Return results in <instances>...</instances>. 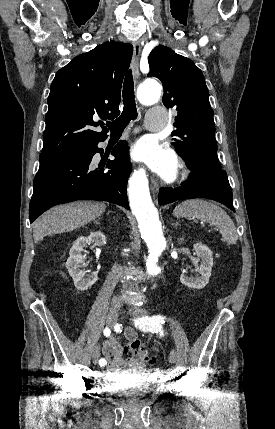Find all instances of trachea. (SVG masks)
Masks as SVG:
<instances>
[{"label":"trachea","mask_w":275,"mask_h":429,"mask_svg":"<svg viewBox=\"0 0 275 429\" xmlns=\"http://www.w3.org/2000/svg\"><path fill=\"white\" fill-rule=\"evenodd\" d=\"M122 96L124 104L122 114L116 120L107 122V126L111 133H119L124 131L129 122L131 120H135L138 116L134 95V82L131 70H129L125 76Z\"/></svg>","instance_id":"obj_1"}]
</instances>
